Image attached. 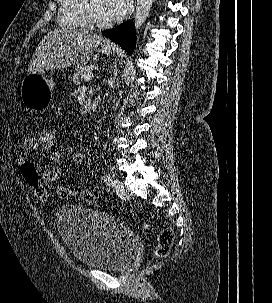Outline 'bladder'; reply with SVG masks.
I'll use <instances>...</instances> for the list:
<instances>
[{
    "instance_id": "31cf9c89",
    "label": "bladder",
    "mask_w": 272,
    "mask_h": 303,
    "mask_svg": "<svg viewBox=\"0 0 272 303\" xmlns=\"http://www.w3.org/2000/svg\"><path fill=\"white\" fill-rule=\"evenodd\" d=\"M55 223L72 255L87 268L125 269L137 251L134 232L106 213L64 205L58 209Z\"/></svg>"
}]
</instances>
